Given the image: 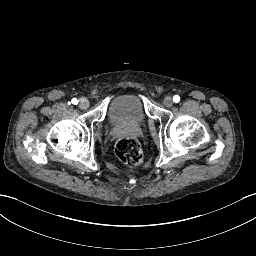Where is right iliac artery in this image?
Instances as JSON below:
<instances>
[{"label": "right iliac artery", "mask_w": 256, "mask_h": 256, "mask_svg": "<svg viewBox=\"0 0 256 256\" xmlns=\"http://www.w3.org/2000/svg\"><path fill=\"white\" fill-rule=\"evenodd\" d=\"M71 102H72V104H74V105H77V104H78V100H77L76 98H73V99L71 100Z\"/></svg>", "instance_id": "right-iliac-artery-1"}]
</instances>
